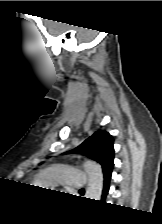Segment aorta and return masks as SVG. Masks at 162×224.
I'll return each mask as SVG.
<instances>
[{
	"label": "aorta",
	"instance_id": "obj_1",
	"mask_svg": "<svg viewBox=\"0 0 162 224\" xmlns=\"http://www.w3.org/2000/svg\"><path fill=\"white\" fill-rule=\"evenodd\" d=\"M83 166L88 175V187L85 197L99 200L103 189V173L101 166L91 160L85 161Z\"/></svg>",
	"mask_w": 162,
	"mask_h": 224
}]
</instances>
